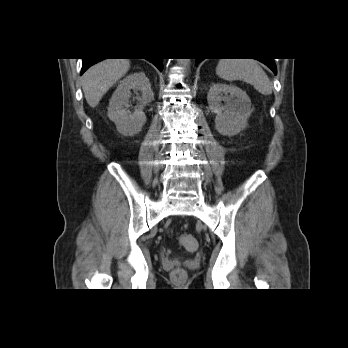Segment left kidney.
<instances>
[{
	"label": "left kidney",
	"mask_w": 348,
	"mask_h": 348,
	"mask_svg": "<svg viewBox=\"0 0 348 348\" xmlns=\"http://www.w3.org/2000/svg\"><path fill=\"white\" fill-rule=\"evenodd\" d=\"M207 101L210 110L216 114L215 128L220 134L234 136L247 127L252 112L251 100L239 87L214 84L208 92Z\"/></svg>",
	"instance_id": "1"
}]
</instances>
